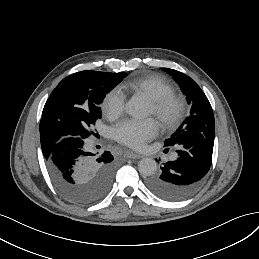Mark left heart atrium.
I'll list each match as a JSON object with an SVG mask.
<instances>
[{
	"label": "left heart atrium",
	"mask_w": 259,
	"mask_h": 259,
	"mask_svg": "<svg viewBox=\"0 0 259 259\" xmlns=\"http://www.w3.org/2000/svg\"><path fill=\"white\" fill-rule=\"evenodd\" d=\"M158 122L152 118L146 120L127 119L112 129L113 137L120 143L141 149L159 132Z\"/></svg>",
	"instance_id": "39dd6f15"
}]
</instances>
